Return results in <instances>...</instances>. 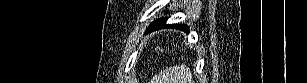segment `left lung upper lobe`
<instances>
[{"instance_id": "5c2ea615", "label": "left lung upper lobe", "mask_w": 307, "mask_h": 83, "mask_svg": "<svg viewBox=\"0 0 307 83\" xmlns=\"http://www.w3.org/2000/svg\"><path fill=\"white\" fill-rule=\"evenodd\" d=\"M160 20H162V19L156 20V21H154L153 23H157V22L160 21Z\"/></svg>"}]
</instances>
